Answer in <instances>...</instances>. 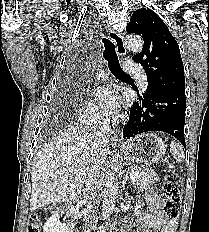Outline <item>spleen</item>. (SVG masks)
Instances as JSON below:
<instances>
[{
  "instance_id": "1",
  "label": "spleen",
  "mask_w": 209,
  "mask_h": 232,
  "mask_svg": "<svg viewBox=\"0 0 209 232\" xmlns=\"http://www.w3.org/2000/svg\"><path fill=\"white\" fill-rule=\"evenodd\" d=\"M170 151L174 155L175 159L179 162L183 161L185 155L182 147L176 143V142H171L170 144Z\"/></svg>"
}]
</instances>
